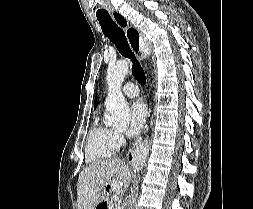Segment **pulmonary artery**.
I'll return each instance as SVG.
<instances>
[{
    "label": "pulmonary artery",
    "instance_id": "obj_1",
    "mask_svg": "<svg viewBox=\"0 0 253 209\" xmlns=\"http://www.w3.org/2000/svg\"><path fill=\"white\" fill-rule=\"evenodd\" d=\"M123 93L129 97H135L138 95V87L134 83H126L122 88Z\"/></svg>",
    "mask_w": 253,
    "mask_h": 209
}]
</instances>
